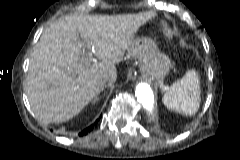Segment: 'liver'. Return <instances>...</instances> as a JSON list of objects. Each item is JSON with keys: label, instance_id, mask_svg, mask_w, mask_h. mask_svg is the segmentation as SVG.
<instances>
[{"label": "liver", "instance_id": "6515ba94", "mask_svg": "<svg viewBox=\"0 0 240 160\" xmlns=\"http://www.w3.org/2000/svg\"><path fill=\"white\" fill-rule=\"evenodd\" d=\"M153 12L60 18L42 33L30 58L27 96L39 121L60 123L77 115L100 91L99 82L116 80L115 64L131 52L139 28ZM93 56L100 62L91 63Z\"/></svg>", "mask_w": 240, "mask_h": 160}]
</instances>
